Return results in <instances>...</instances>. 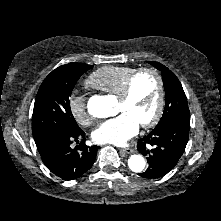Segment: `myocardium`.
Returning <instances> with one entry per match:
<instances>
[{
  "mask_svg": "<svg viewBox=\"0 0 221 221\" xmlns=\"http://www.w3.org/2000/svg\"><path fill=\"white\" fill-rule=\"evenodd\" d=\"M142 74L153 75L156 78L157 84H158V99H157V105H156L155 112H154L153 116L151 117V119L140 124V126L143 128H150V127L155 126L158 123V121L160 120V118L163 114L164 104H165L164 80H163L162 75L156 69L144 67V68H140V69L135 70L133 73H131L128 76L121 92L117 95V97H118V100L121 102L127 101L131 96L132 87H133L135 80L137 79V77H139Z\"/></svg>",
  "mask_w": 221,
  "mask_h": 221,
  "instance_id": "f54148a6",
  "label": "myocardium"
}]
</instances>
